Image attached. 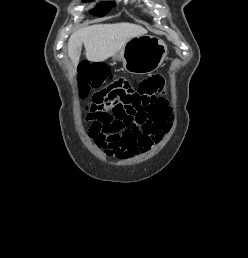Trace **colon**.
I'll return each instance as SVG.
<instances>
[{"instance_id":"5ec220e1","label":"colon","mask_w":248,"mask_h":258,"mask_svg":"<svg viewBox=\"0 0 248 258\" xmlns=\"http://www.w3.org/2000/svg\"><path fill=\"white\" fill-rule=\"evenodd\" d=\"M81 90L89 95L92 88L100 87L105 81L104 68L95 63L86 62L81 67ZM91 122L90 132L110 134L122 129L131 121L130 112H122L113 95L93 94L92 102L86 108Z\"/></svg>"}]
</instances>
